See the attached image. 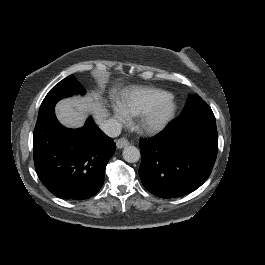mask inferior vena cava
Instances as JSON below:
<instances>
[{"label":"inferior vena cava","mask_w":265,"mask_h":265,"mask_svg":"<svg viewBox=\"0 0 265 265\" xmlns=\"http://www.w3.org/2000/svg\"><path fill=\"white\" fill-rule=\"evenodd\" d=\"M100 128L109 137H117L121 133L122 124L116 119H108L100 125Z\"/></svg>","instance_id":"inferior-vena-cava-1"}]
</instances>
